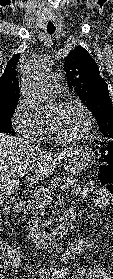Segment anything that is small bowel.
<instances>
[{
    "label": "small bowel",
    "instance_id": "c3829d8e",
    "mask_svg": "<svg viewBox=\"0 0 113 279\" xmlns=\"http://www.w3.org/2000/svg\"><path fill=\"white\" fill-rule=\"evenodd\" d=\"M93 189H94V185L92 182L86 183L82 191L83 198L84 199L87 198V196L93 191ZM112 202H113V195L106 194V193L99 195L94 200V204L97 206H105L106 204ZM112 227H113V222L110 224H106L104 226V231H111ZM88 243L91 248H94L98 245L99 239L98 237H93L89 239ZM19 264H20V258H17L16 260L12 261L10 266L15 268L18 267ZM73 279H113V274L107 272L106 269L102 267H96L89 272H84L81 270L76 271L73 276Z\"/></svg>",
    "mask_w": 113,
    "mask_h": 279
}]
</instances>
